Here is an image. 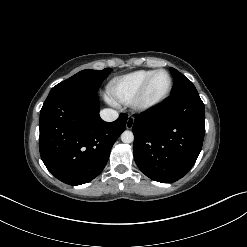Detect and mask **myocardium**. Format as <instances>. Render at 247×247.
<instances>
[{"label": "myocardium", "instance_id": "1", "mask_svg": "<svg viewBox=\"0 0 247 247\" xmlns=\"http://www.w3.org/2000/svg\"><path fill=\"white\" fill-rule=\"evenodd\" d=\"M160 73H164L168 77V87H167L166 91L160 97H158L156 99H149L148 98V92H149L151 83H152L153 79L155 78V76L160 74ZM172 87H173V80H172L170 73L164 69L155 70L147 78V80L144 82V84L141 87L138 94L132 100V102H131L132 107L135 110L140 111V112H145V111H149L151 109H154L168 98V96L171 93Z\"/></svg>", "mask_w": 247, "mask_h": 247}]
</instances>
